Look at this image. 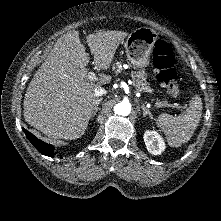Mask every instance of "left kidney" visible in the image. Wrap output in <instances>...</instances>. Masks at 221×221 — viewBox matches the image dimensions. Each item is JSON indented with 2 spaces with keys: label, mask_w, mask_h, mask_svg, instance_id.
I'll return each instance as SVG.
<instances>
[{
  "label": "left kidney",
  "mask_w": 221,
  "mask_h": 221,
  "mask_svg": "<svg viewBox=\"0 0 221 221\" xmlns=\"http://www.w3.org/2000/svg\"><path fill=\"white\" fill-rule=\"evenodd\" d=\"M143 138L147 150L151 154L160 155L165 150V142L156 131H146Z\"/></svg>",
  "instance_id": "left-kidney-1"
}]
</instances>
